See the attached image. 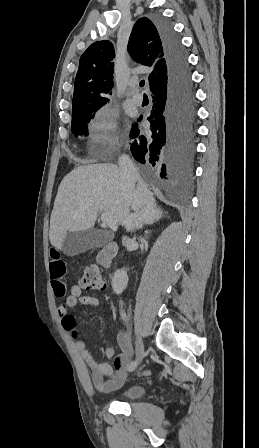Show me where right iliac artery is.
<instances>
[{
	"label": "right iliac artery",
	"mask_w": 259,
	"mask_h": 448,
	"mask_svg": "<svg viewBox=\"0 0 259 448\" xmlns=\"http://www.w3.org/2000/svg\"><path fill=\"white\" fill-rule=\"evenodd\" d=\"M121 316H122L123 320H125V321L127 320L126 314L123 311H121ZM136 366H137V361H133L128 366V371H133L136 368Z\"/></svg>",
	"instance_id": "right-iliac-artery-1"
}]
</instances>
